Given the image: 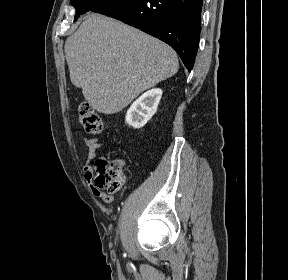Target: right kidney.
Masks as SVG:
<instances>
[{
    "instance_id": "1",
    "label": "right kidney",
    "mask_w": 288,
    "mask_h": 280,
    "mask_svg": "<svg viewBox=\"0 0 288 280\" xmlns=\"http://www.w3.org/2000/svg\"><path fill=\"white\" fill-rule=\"evenodd\" d=\"M161 97V89L143 93L128 109L126 122L134 128L143 127L156 113Z\"/></svg>"
}]
</instances>
